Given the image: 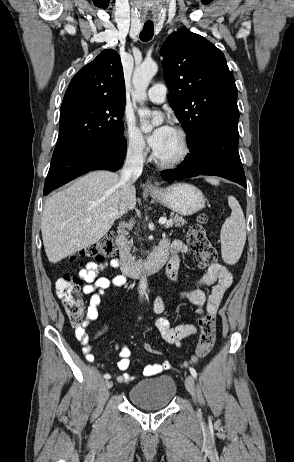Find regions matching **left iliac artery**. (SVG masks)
<instances>
[{
    "instance_id": "1",
    "label": "left iliac artery",
    "mask_w": 294,
    "mask_h": 462,
    "mask_svg": "<svg viewBox=\"0 0 294 462\" xmlns=\"http://www.w3.org/2000/svg\"><path fill=\"white\" fill-rule=\"evenodd\" d=\"M189 371H190L191 375L196 379V377H197L196 370L194 368L190 367Z\"/></svg>"
}]
</instances>
